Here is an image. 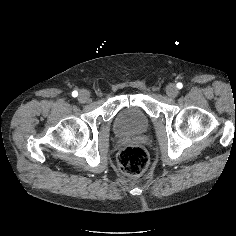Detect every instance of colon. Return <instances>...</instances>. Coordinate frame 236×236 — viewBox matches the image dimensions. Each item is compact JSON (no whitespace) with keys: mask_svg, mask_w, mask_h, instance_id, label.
Instances as JSON below:
<instances>
[{"mask_svg":"<svg viewBox=\"0 0 236 236\" xmlns=\"http://www.w3.org/2000/svg\"><path fill=\"white\" fill-rule=\"evenodd\" d=\"M146 152L137 146H127L118 155V169L125 175L137 177L143 174L148 167Z\"/></svg>","mask_w":236,"mask_h":236,"instance_id":"colon-1","label":"colon"}]
</instances>
